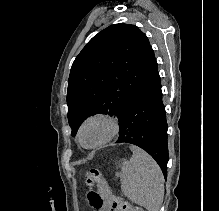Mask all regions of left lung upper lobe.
I'll return each mask as SVG.
<instances>
[{
  "mask_svg": "<svg viewBox=\"0 0 219 211\" xmlns=\"http://www.w3.org/2000/svg\"><path fill=\"white\" fill-rule=\"evenodd\" d=\"M157 70L149 40L134 25L114 24L95 35L74 60L67 89L72 136L94 114L120 121L129 101Z\"/></svg>",
  "mask_w": 219,
  "mask_h": 211,
  "instance_id": "1",
  "label": "left lung upper lobe"
}]
</instances>
